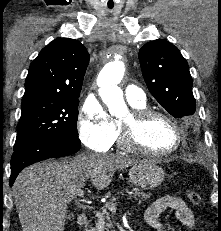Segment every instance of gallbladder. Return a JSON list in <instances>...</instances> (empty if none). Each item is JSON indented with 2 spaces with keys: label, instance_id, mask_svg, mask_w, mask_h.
Listing matches in <instances>:
<instances>
[{
  "label": "gallbladder",
  "instance_id": "gallbladder-1",
  "mask_svg": "<svg viewBox=\"0 0 221 231\" xmlns=\"http://www.w3.org/2000/svg\"><path fill=\"white\" fill-rule=\"evenodd\" d=\"M66 218H67L68 220H72V219L74 218L73 213L67 214Z\"/></svg>",
  "mask_w": 221,
  "mask_h": 231
}]
</instances>
